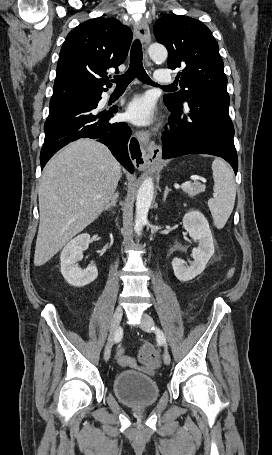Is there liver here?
Listing matches in <instances>:
<instances>
[{
    "label": "liver",
    "mask_w": 272,
    "mask_h": 455,
    "mask_svg": "<svg viewBox=\"0 0 272 455\" xmlns=\"http://www.w3.org/2000/svg\"><path fill=\"white\" fill-rule=\"evenodd\" d=\"M120 176L118 161L105 145L92 139L69 144L47 163L38 193L35 266L48 262L99 217Z\"/></svg>",
    "instance_id": "1"
}]
</instances>
